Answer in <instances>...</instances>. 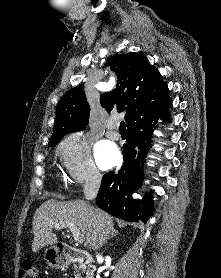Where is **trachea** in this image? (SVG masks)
Instances as JSON below:
<instances>
[{
    "instance_id": "3493384b",
    "label": "trachea",
    "mask_w": 221,
    "mask_h": 278,
    "mask_svg": "<svg viewBox=\"0 0 221 278\" xmlns=\"http://www.w3.org/2000/svg\"><path fill=\"white\" fill-rule=\"evenodd\" d=\"M119 130H120L121 132L126 131V125H125V122H124V121H121Z\"/></svg>"
}]
</instances>
